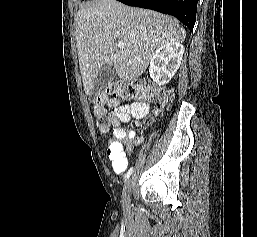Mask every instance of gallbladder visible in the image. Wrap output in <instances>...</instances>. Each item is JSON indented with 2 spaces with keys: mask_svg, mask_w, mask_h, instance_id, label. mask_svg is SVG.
<instances>
[{
  "mask_svg": "<svg viewBox=\"0 0 257 237\" xmlns=\"http://www.w3.org/2000/svg\"><path fill=\"white\" fill-rule=\"evenodd\" d=\"M116 76V69L113 65H104L97 73L94 85L91 91V98L95 100L97 94L109 85Z\"/></svg>",
  "mask_w": 257,
  "mask_h": 237,
  "instance_id": "obj_1",
  "label": "gallbladder"
}]
</instances>
